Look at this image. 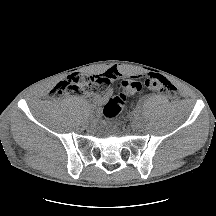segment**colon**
<instances>
[{
	"instance_id": "1",
	"label": "colon",
	"mask_w": 216,
	"mask_h": 216,
	"mask_svg": "<svg viewBox=\"0 0 216 216\" xmlns=\"http://www.w3.org/2000/svg\"><path fill=\"white\" fill-rule=\"evenodd\" d=\"M110 78L105 74L101 75H72L59 82L53 89L58 95L79 94V95H99L105 93L110 87ZM145 85L152 91L161 93L172 98L176 93L175 86L159 75L149 76ZM142 85L136 80H127L119 84L123 92L111 98L103 107V114L106 118L116 117L122 110L126 102V94L130 91H139Z\"/></svg>"
}]
</instances>
